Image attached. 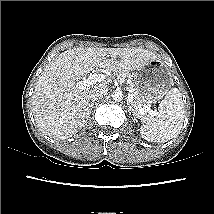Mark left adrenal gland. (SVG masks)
Listing matches in <instances>:
<instances>
[{
  "label": "left adrenal gland",
  "instance_id": "1",
  "mask_svg": "<svg viewBox=\"0 0 214 214\" xmlns=\"http://www.w3.org/2000/svg\"><path fill=\"white\" fill-rule=\"evenodd\" d=\"M128 112L131 114V106H130V104L128 103Z\"/></svg>",
  "mask_w": 214,
  "mask_h": 214
}]
</instances>
